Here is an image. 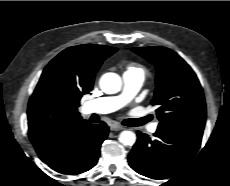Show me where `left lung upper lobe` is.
<instances>
[{
	"label": "left lung upper lobe",
	"instance_id": "1",
	"mask_svg": "<svg viewBox=\"0 0 230 186\" xmlns=\"http://www.w3.org/2000/svg\"><path fill=\"white\" fill-rule=\"evenodd\" d=\"M132 51L155 65L156 88L151 104L158 106V127L203 132L205 99L191 67L177 53L165 47L132 48Z\"/></svg>",
	"mask_w": 230,
	"mask_h": 186
}]
</instances>
